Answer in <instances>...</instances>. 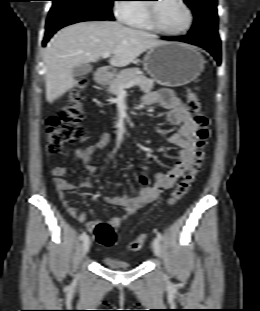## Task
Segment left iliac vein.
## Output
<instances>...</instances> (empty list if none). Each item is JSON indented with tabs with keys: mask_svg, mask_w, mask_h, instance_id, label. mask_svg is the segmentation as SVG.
Returning a JSON list of instances; mask_svg holds the SVG:
<instances>
[{
	"mask_svg": "<svg viewBox=\"0 0 260 311\" xmlns=\"http://www.w3.org/2000/svg\"><path fill=\"white\" fill-rule=\"evenodd\" d=\"M152 248H153V252L155 253V255L160 256L161 244H160V240L158 238L153 239Z\"/></svg>",
	"mask_w": 260,
	"mask_h": 311,
	"instance_id": "1",
	"label": "left iliac vein"
}]
</instances>
